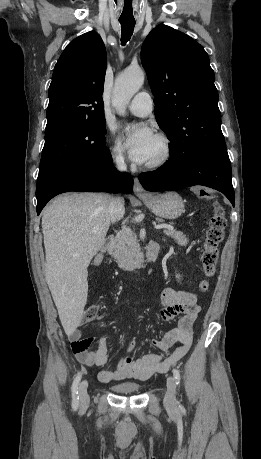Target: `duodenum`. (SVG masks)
<instances>
[{"instance_id":"410a0bca","label":"duodenum","mask_w":261,"mask_h":459,"mask_svg":"<svg viewBox=\"0 0 261 459\" xmlns=\"http://www.w3.org/2000/svg\"><path fill=\"white\" fill-rule=\"evenodd\" d=\"M114 242H115L114 236L113 235L108 236L105 239L101 247V251L103 253H109L113 248ZM159 250H160V247L158 243L156 242L148 243V245L146 246V250H145L143 259L137 265L133 267H137L141 264L153 263L158 257Z\"/></svg>"}]
</instances>
